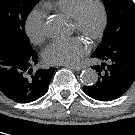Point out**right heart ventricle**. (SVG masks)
<instances>
[{"label": "right heart ventricle", "instance_id": "1", "mask_svg": "<svg viewBox=\"0 0 135 135\" xmlns=\"http://www.w3.org/2000/svg\"><path fill=\"white\" fill-rule=\"evenodd\" d=\"M82 1L83 0H52L47 2L45 6L59 15L71 19Z\"/></svg>", "mask_w": 135, "mask_h": 135}]
</instances>
